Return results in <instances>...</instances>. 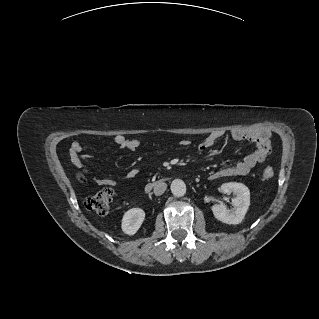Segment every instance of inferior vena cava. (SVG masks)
<instances>
[{
	"label": "inferior vena cava",
	"instance_id": "602c4592",
	"mask_svg": "<svg viewBox=\"0 0 319 319\" xmlns=\"http://www.w3.org/2000/svg\"><path fill=\"white\" fill-rule=\"evenodd\" d=\"M167 188V184L165 182H157L154 186V194L159 196L162 195Z\"/></svg>",
	"mask_w": 319,
	"mask_h": 319
}]
</instances>
